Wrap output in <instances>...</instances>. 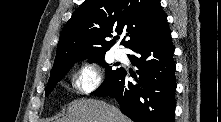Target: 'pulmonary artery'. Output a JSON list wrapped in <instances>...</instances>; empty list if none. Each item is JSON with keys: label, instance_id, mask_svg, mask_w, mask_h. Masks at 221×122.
<instances>
[{"label": "pulmonary artery", "instance_id": "pulmonary-artery-1", "mask_svg": "<svg viewBox=\"0 0 221 122\" xmlns=\"http://www.w3.org/2000/svg\"><path fill=\"white\" fill-rule=\"evenodd\" d=\"M114 55H115V58L118 60H124L126 58V54L122 49H117Z\"/></svg>", "mask_w": 221, "mask_h": 122}]
</instances>
